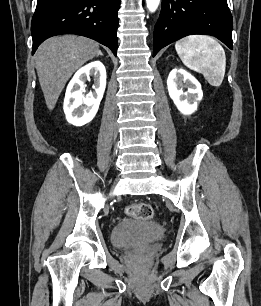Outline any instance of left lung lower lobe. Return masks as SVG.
<instances>
[{
  "label": "left lung lower lobe",
  "mask_w": 261,
  "mask_h": 306,
  "mask_svg": "<svg viewBox=\"0 0 261 306\" xmlns=\"http://www.w3.org/2000/svg\"><path fill=\"white\" fill-rule=\"evenodd\" d=\"M232 26L227 0H162L154 28L153 57L168 44L193 34L215 36L233 49Z\"/></svg>",
  "instance_id": "1"
}]
</instances>
